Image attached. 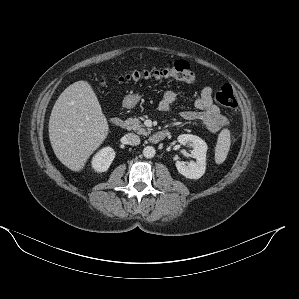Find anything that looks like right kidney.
I'll return each mask as SVG.
<instances>
[{"mask_svg":"<svg viewBox=\"0 0 299 299\" xmlns=\"http://www.w3.org/2000/svg\"><path fill=\"white\" fill-rule=\"evenodd\" d=\"M115 158V152L111 147L101 149L92 159V167L97 172H105Z\"/></svg>","mask_w":299,"mask_h":299,"instance_id":"ca27d5eb","label":"right kidney"}]
</instances>
